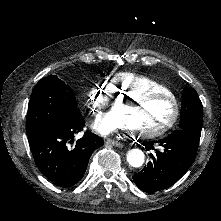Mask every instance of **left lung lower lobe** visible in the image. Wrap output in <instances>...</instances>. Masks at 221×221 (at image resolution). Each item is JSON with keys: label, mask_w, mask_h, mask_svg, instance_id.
Wrapping results in <instances>:
<instances>
[{"label": "left lung lower lobe", "mask_w": 221, "mask_h": 221, "mask_svg": "<svg viewBox=\"0 0 221 221\" xmlns=\"http://www.w3.org/2000/svg\"><path fill=\"white\" fill-rule=\"evenodd\" d=\"M200 135L179 129L164 139L142 143L147 150L154 149L158 143L163 150L156 151V157L148 162L139 173L133 175L136 185L144 192L152 193L172 186L192 165Z\"/></svg>", "instance_id": "1"}]
</instances>
